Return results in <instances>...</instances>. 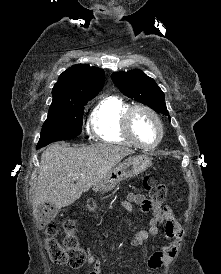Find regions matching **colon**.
<instances>
[{
	"instance_id": "5ec220e1",
	"label": "colon",
	"mask_w": 221,
	"mask_h": 274,
	"mask_svg": "<svg viewBox=\"0 0 221 274\" xmlns=\"http://www.w3.org/2000/svg\"><path fill=\"white\" fill-rule=\"evenodd\" d=\"M144 187L153 202L161 203L166 199L167 188L157 176L148 175L144 180ZM89 205L92 206L93 202L90 201ZM62 226L65 232L63 245L55 238L58 231L57 225L55 223L46 225L45 232L47 237L45 240V248L55 263L73 269L80 268L88 261L89 254L80 246L74 234V218L69 217L65 219Z\"/></svg>"
}]
</instances>
